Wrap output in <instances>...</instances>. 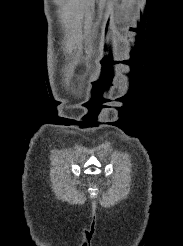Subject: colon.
Returning a JSON list of instances; mask_svg holds the SVG:
<instances>
[{"label":"colon","instance_id":"obj_1","mask_svg":"<svg viewBox=\"0 0 183 246\" xmlns=\"http://www.w3.org/2000/svg\"><path fill=\"white\" fill-rule=\"evenodd\" d=\"M90 181H91V182H94V181H95V178H94V177H91V178H90Z\"/></svg>","mask_w":183,"mask_h":246}]
</instances>
